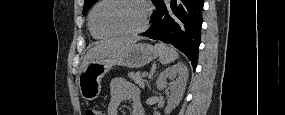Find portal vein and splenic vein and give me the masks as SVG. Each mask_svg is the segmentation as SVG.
<instances>
[{
  "instance_id": "portal-vein-and-splenic-vein-1",
  "label": "portal vein and splenic vein",
  "mask_w": 285,
  "mask_h": 115,
  "mask_svg": "<svg viewBox=\"0 0 285 115\" xmlns=\"http://www.w3.org/2000/svg\"><path fill=\"white\" fill-rule=\"evenodd\" d=\"M144 77L148 76V72L144 71L142 74Z\"/></svg>"
}]
</instances>
